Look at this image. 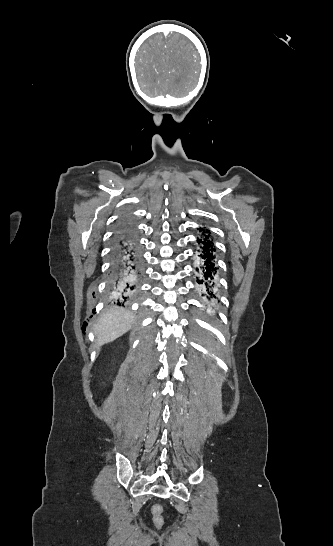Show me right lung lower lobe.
Segmentation results:
<instances>
[{
	"instance_id": "obj_1",
	"label": "right lung lower lobe",
	"mask_w": 333,
	"mask_h": 546,
	"mask_svg": "<svg viewBox=\"0 0 333 546\" xmlns=\"http://www.w3.org/2000/svg\"><path fill=\"white\" fill-rule=\"evenodd\" d=\"M140 255L136 237L132 232L120 230L114 235L110 284L117 296L126 299L136 289L135 284L140 274Z\"/></svg>"
}]
</instances>
